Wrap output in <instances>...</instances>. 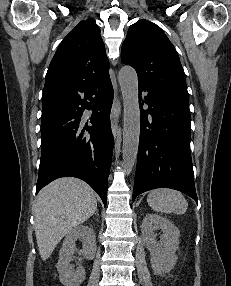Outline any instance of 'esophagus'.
<instances>
[{
	"label": "esophagus",
	"instance_id": "obj_1",
	"mask_svg": "<svg viewBox=\"0 0 231 286\" xmlns=\"http://www.w3.org/2000/svg\"><path fill=\"white\" fill-rule=\"evenodd\" d=\"M120 115H121V103L120 100L116 97L113 101L111 115H110L111 129L114 137H116L118 133Z\"/></svg>",
	"mask_w": 231,
	"mask_h": 286
}]
</instances>
